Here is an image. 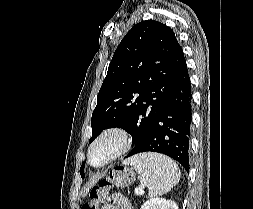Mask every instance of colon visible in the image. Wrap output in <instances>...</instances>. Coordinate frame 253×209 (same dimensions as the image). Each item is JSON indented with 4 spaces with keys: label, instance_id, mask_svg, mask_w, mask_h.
Segmentation results:
<instances>
[{
    "label": "colon",
    "instance_id": "5ec220e1",
    "mask_svg": "<svg viewBox=\"0 0 253 209\" xmlns=\"http://www.w3.org/2000/svg\"><path fill=\"white\" fill-rule=\"evenodd\" d=\"M133 180V174L126 169H117L90 191L91 203L84 204L82 209H97L106 190L113 185L125 186Z\"/></svg>",
    "mask_w": 253,
    "mask_h": 209
}]
</instances>
